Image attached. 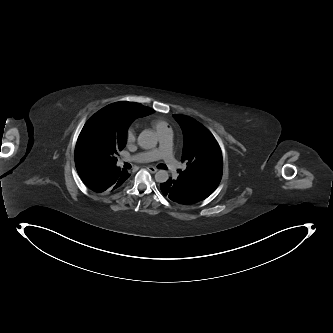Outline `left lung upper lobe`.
<instances>
[{
    "mask_svg": "<svg viewBox=\"0 0 333 333\" xmlns=\"http://www.w3.org/2000/svg\"><path fill=\"white\" fill-rule=\"evenodd\" d=\"M173 117L183 131L182 162L187 165L173 179L204 200L215 191L221 180L223 161L220 148L213 135L193 118L184 115Z\"/></svg>",
    "mask_w": 333,
    "mask_h": 333,
    "instance_id": "5c2ea615",
    "label": "left lung upper lobe"
}]
</instances>
